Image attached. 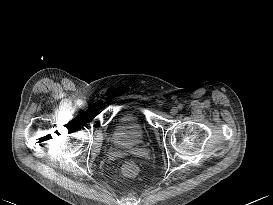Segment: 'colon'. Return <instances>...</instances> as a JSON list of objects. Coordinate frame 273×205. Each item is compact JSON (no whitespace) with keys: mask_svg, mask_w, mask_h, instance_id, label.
<instances>
[{"mask_svg":"<svg viewBox=\"0 0 273 205\" xmlns=\"http://www.w3.org/2000/svg\"><path fill=\"white\" fill-rule=\"evenodd\" d=\"M121 172L124 177L132 178L137 175L138 168L134 162L128 161L123 164Z\"/></svg>","mask_w":273,"mask_h":205,"instance_id":"1","label":"colon"}]
</instances>
